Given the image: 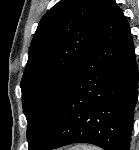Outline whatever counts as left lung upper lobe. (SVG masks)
Segmentation results:
<instances>
[{
    "instance_id": "5c2ea615",
    "label": "left lung upper lobe",
    "mask_w": 139,
    "mask_h": 150,
    "mask_svg": "<svg viewBox=\"0 0 139 150\" xmlns=\"http://www.w3.org/2000/svg\"><path fill=\"white\" fill-rule=\"evenodd\" d=\"M112 0H60L41 19L21 80L29 148L47 127L62 90L99 33Z\"/></svg>"
}]
</instances>
